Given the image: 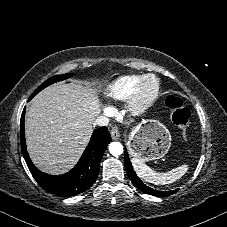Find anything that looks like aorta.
I'll return each mask as SVG.
<instances>
[{
	"instance_id": "obj_1",
	"label": "aorta",
	"mask_w": 227,
	"mask_h": 227,
	"mask_svg": "<svg viewBox=\"0 0 227 227\" xmlns=\"http://www.w3.org/2000/svg\"><path fill=\"white\" fill-rule=\"evenodd\" d=\"M109 151L113 156H119L123 153L124 149L121 143L111 142L109 144Z\"/></svg>"
}]
</instances>
